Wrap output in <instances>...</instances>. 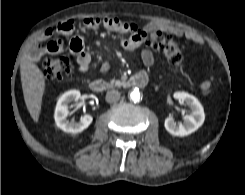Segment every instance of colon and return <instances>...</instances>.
<instances>
[{
    "instance_id": "obj_1",
    "label": "colon",
    "mask_w": 245,
    "mask_h": 195,
    "mask_svg": "<svg viewBox=\"0 0 245 195\" xmlns=\"http://www.w3.org/2000/svg\"><path fill=\"white\" fill-rule=\"evenodd\" d=\"M147 44L152 49L163 53L172 67H178L183 63L181 45L171 36L158 33L156 39L148 41ZM42 68L46 79L60 80L71 75L73 62L68 56L46 58Z\"/></svg>"
}]
</instances>
